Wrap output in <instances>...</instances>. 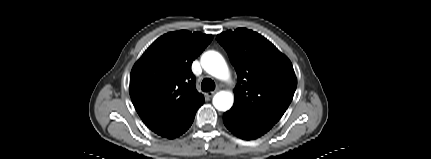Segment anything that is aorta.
<instances>
[{
	"instance_id": "obj_1",
	"label": "aorta",
	"mask_w": 431,
	"mask_h": 159,
	"mask_svg": "<svg viewBox=\"0 0 431 159\" xmlns=\"http://www.w3.org/2000/svg\"><path fill=\"white\" fill-rule=\"evenodd\" d=\"M201 65L207 73L218 79L229 78L228 66L222 55L216 51L205 52L201 57ZM233 102V94L227 91H220L213 97V105L219 111L229 110Z\"/></svg>"
}]
</instances>
